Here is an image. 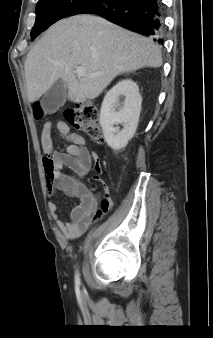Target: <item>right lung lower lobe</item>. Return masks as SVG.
Returning a JSON list of instances; mask_svg holds the SVG:
<instances>
[{"instance_id": "98d812e1", "label": "right lung lower lobe", "mask_w": 213, "mask_h": 338, "mask_svg": "<svg viewBox=\"0 0 213 338\" xmlns=\"http://www.w3.org/2000/svg\"><path fill=\"white\" fill-rule=\"evenodd\" d=\"M93 13L131 31L150 36L158 42L163 24L161 0H92L73 14Z\"/></svg>"}]
</instances>
